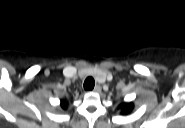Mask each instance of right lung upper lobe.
Instances as JSON below:
<instances>
[{
	"label": "right lung upper lobe",
	"instance_id": "1",
	"mask_svg": "<svg viewBox=\"0 0 185 128\" xmlns=\"http://www.w3.org/2000/svg\"><path fill=\"white\" fill-rule=\"evenodd\" d=\"M61 106L63 107V108H66V103H65V101H61Z\"/></svg>",
	"mask_w": 185,
	"mask_h": 128
}]
</instances>
